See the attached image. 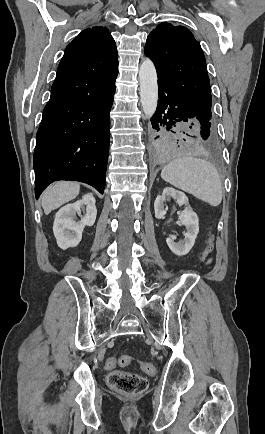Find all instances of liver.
Listing matches in <instances>:
<instances>
[{"instance_id": "liver-1", "label": "liver", "mask_w": 265, "mask_h": 434, "mask_svg": "<svg viewBox=\"0 0 265 434\" xmlns=\"http://www.w3.org/2000/svg\"><path fill=\"white\" fill-rule=\"evenodd\" d=\"M80 186L77 182H55L46 188L41 196V204L44 214L48 216L52 210H57L63 204L77 198Z\"/></svg>"}]
</instances>
